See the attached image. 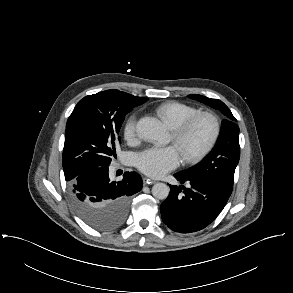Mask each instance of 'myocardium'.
I'll use <instances>...</instances> for the list:
<instances>
[{"mask_svg": "<svg viewBox=\"0 0 293 293\" xmlns=\"http://www.w3.org/2000/svg\"><path fill=\"white\" fill-rule=\"evenodd\" d=\"M200 121H207L210 124L211 131L209 137L202 147L197 150L184 149L182 151L183 157L188 163L199 162L212 151L220 136V121L218 117L213 113L199 112L172 129L173 142L178 147H183V142L187 134Z\"/></svg>", "mask_w": 293, "mask_h": 293, "instance_id": "obj_1", "label": "myocardium"}]
</instances>
